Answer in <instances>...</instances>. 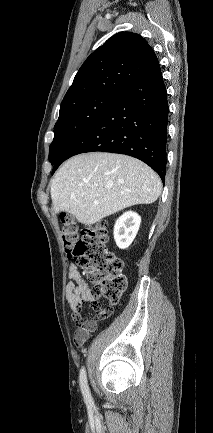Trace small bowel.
<instances>
[{"label":"small bowel","mask_w":213,"mask_h":433,"mask_svg":"<svg viewBox=\"0 0 213 433\" xmlns=\"http://www.w3.org/2000/svg\"><path fill=\"white\" fill-rule=\"evenodd\" d=\"M68 278L69 282L65 288L66 299L71 310L77 314L81 311L82 306L85 303L94 302L95 297L92 295L90 288L75 265L70 266ZM96 326L95 321L87 320L85 326L81 329H77L75 332V343L77 345H82L87 341L91 333L96 330Z\"/></svg>","instance_id":"obj_1"}]
</instances>
